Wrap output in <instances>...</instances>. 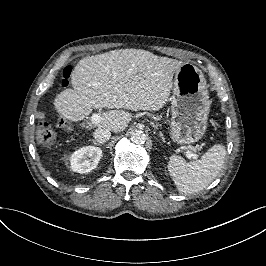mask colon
<instances>
[{
    "instance_id": "5ec220e1",
    "label": "colon",
    "mask_w": 266,
    "mask_h": 266,
    "mask_svg": "<svg viewBox=\"0 0 266 266\" xmlns=\"http://www.w3.org/2000/svg\"><path fill=\"white\" fill-rule=\"evenodd\" d=\"M73 69L71 67H67L64 69L62 73V77L66 79L62 82V86L66 88L68 86V79L72 76ZM37 139L39 142L49 145L55 139V131L52 125V122L48 118H44L38 121L37 124Z\"/></svg>"
}]
</instances>
